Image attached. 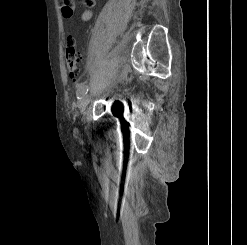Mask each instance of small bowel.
Segmentation results:
<instances>
[{
  "mask_svg": "<svg viewBox=\"0 0 247 245\" xmlns=\"http://www.w3.org/2000/svg\"><path fill=\"white\" fill-rule=\"evenodd\" d=\"M84 5L87 8L94 7L96 0H83ZM61 11L65 18H71L74 12V5L72 0H62ZM92 11L90 9L85 10L81 14L82 21H88L92 17Z\"/></svg>",
  "mask_w": 247,
  "mask_h": 245,
  "instance_id": "small-bowel-1",
  "label": "small bowel"
}]
</instances>
